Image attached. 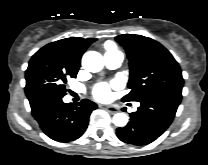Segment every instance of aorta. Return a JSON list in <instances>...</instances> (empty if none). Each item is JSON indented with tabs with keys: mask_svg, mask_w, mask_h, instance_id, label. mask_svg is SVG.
<instances>
[{
	"mask_svg": "<svg viewBox=\"0 0 208 165\" xmlns=\"http://www.w3.org/2000/svg\"><path fill=\"white\" fill-rule=\"evenodd\" d=\"M82 66L89 72H99L104 66V60L100 53L96 51H88L82 57ZM128 122V116L124 113H116L113 116L115 126L124 127Z\"/></svg>",
	"mask_w": 208,
	"mask_h": 165,
	"instance_id": "762f6f07",
	"label": "aorta"
}]
</instances>
